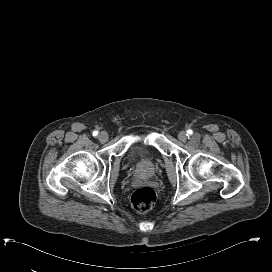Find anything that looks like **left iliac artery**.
<instances>
[{"mask_svg":"<svg viewBox=\"0 0 272 272\" xmlns=\"http://www.w3.org/2000/svg\"><path fill=\"white\" fill-rule=\"evenodd\" d=\"M187 133H188L189 135H192V134H193V131H192L191 129H189V130H187Z\"/></svg>","mask_w":272,"mask_h":272,"instance_id":"obj_1","label":"left iliac artery"}]
</instances>
